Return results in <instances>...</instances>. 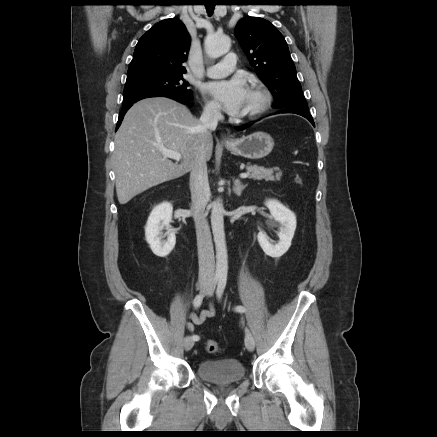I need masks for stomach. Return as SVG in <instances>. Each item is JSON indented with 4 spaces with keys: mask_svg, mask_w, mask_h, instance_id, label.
Listing matches in <instances>:
<instances>
[{
    "mask_svg": "<svg viewBox=\"0 0 437 437\" xmlns=\"http://www.w3.org/2000/svg\"><path fill=\"white\" fill-rule=\"evenodd\" d=\"M225 147L235 155L258 160L270 154L274 147V140L269 134L259 131L228 141Z\"/></svg>",
    "mask_w": 437,
    "mask_h": 437,
    "instance_id": "1",
    "label": "stomach"
}]
</instances>
